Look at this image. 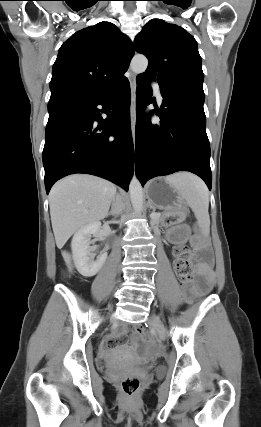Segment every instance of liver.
I'll return each instance as SVG.
<instances>
[{
  "mask_svg": "<svg viewBox=\"0 0 261 427\" xmlns=\"http://www.w3.org/2000/svg\"><path fill=\"white\" fill-rule=\"evenodd\" d=\"M115 194V184L87 174H74L57 182L49 194L57 247L61 249L84 226L105 218Z\"/></svg>",
  "mask_w": 261,
  "mask_h": 427,
  "instance_id": "6515ba94",
  "label": "liver"
}]
</instances>
